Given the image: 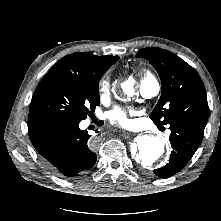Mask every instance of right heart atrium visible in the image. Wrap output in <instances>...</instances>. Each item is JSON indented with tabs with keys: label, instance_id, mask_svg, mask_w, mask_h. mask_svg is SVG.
Returning a JSON list of instances; mask_svg holds the SVG:
<instances>
[{
	"label": "right heart atrium",
	"instance_id": "d8ad5b80",
	"mask_svg": "<svg viewBox=\"0 0 221 221\" xmlns=\"http://www.w3.org/2000/svg\"><path fill=\"white\" fill-rule=\"evenodd\" d=\"M100 90L102 94H107L109 91V82H108V76H105L102 81L100 82Z\"/></svg>",
	"mask_w": 221,
	"mask_h": 221
}]
</instances>
